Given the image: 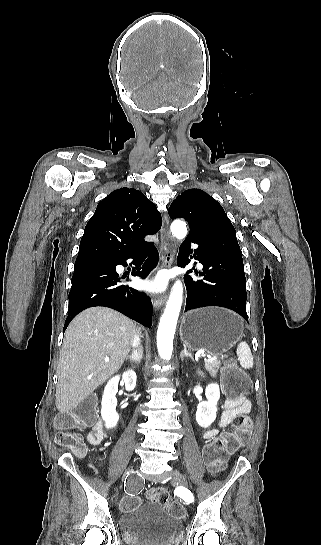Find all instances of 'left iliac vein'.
<instances>
[{
    "label": "left iliac vein",
    "mask_w": 321,
    "mask_h": 545,
    "mask_svg": "<svg viewBox=\"0 0 321 545\" xmlns=\"http://www.w3.org/2000/svg\"><path fill=\"white\" fill-rule=\"evenodd\" d=\"M172 481L177 483L178 485L188 487V482L183 474H181L179 471L174 470L172 472Z\"/></svg>",
    "instance_id": "obj_1"
}]
</instances>
